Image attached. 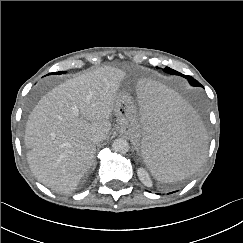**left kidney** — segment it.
<instances>
[{
	"instance_id": "left-kidney-1",
	"label": "left kidney",
	"mask_w": 243,
	"mask_h": 243,
	"mask_svg": "<svg viewBox=\"0 0 243 243\" xmlns=\"http://www.w3.org/2000/svg\"><path fill=\"white\" fill-rule=\"evenodd\" d=\"M137 174H138L139 179L141 180V182L145 186H147V187H151L152 186V181H151V179L149 177V174L147 173V171L145 169L139 168Z\"/></svg>"
}]
</instances>
